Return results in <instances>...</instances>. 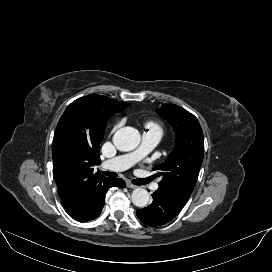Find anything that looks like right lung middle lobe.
Segmentation results:
<instances>
[{
    "label": "right lung middle lobe",
    "instance_id": "dd1d6c3e",
    "mask_svg": "<svg viewBox=\"0 0 272 272\" xmlns=\"http://www.w3.org/2000/svg\"><path fill=\"white\" fill-rule=\"evenodd\" d=\"M112 115H113V113H112V114H110V116H112ZM110 116H109V118H110ZM107 121H108V120H106V122H105V127H106Z\"/></svg>",
    "mask_w": 272,
    "mask_h": 272
}]
</instances>
